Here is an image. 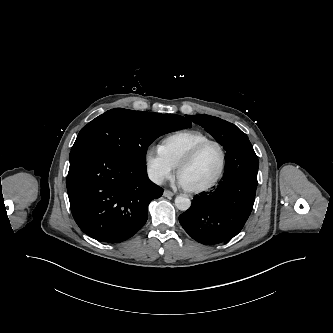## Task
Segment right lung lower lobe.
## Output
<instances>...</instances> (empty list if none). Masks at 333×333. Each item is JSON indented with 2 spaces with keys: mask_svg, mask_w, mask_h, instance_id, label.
<instances>
[{
  "mask_svg": "<svg viewBox=\"0 0 333 333\" xmlns=\"http://www.w3.org/2000/svg\"><path fill=\"white\" fill-rule=\"evenodd\" d=\"M69 160L66 185L73 218L98 241L118 243L132 237L146 223L151 200L163 194L149 180L147 167L103 147H72Z\"/></svg>",
  "mask_w": 333,
  "mask_h": 333,
  "instance_id": "obj_1",
  "label": "right lung lower lobe"
}]
</instances>
